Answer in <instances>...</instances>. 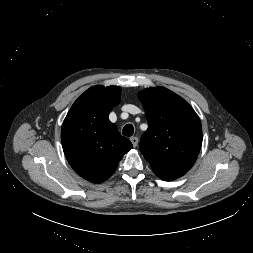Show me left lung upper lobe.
Segmentation results:
<instances>
[{
  "label": "left lung upper lobe",
  "mask_w": 253,
  "mask_h": 253,
  "mask_svg": "<svg viewBox=\"0 0 253 253\" xmlns=\"http://www.w3.org/2000/svg\"><path fill=\"white\" fill-rule=\"evenodd\" d=\"M148 121L140 151L161 179L175 180L194 165L202 145V126L193 108L163 87L139 93Z\"/></svg>",
  "instance_id": "5c2ea615"
}]
</instances>
